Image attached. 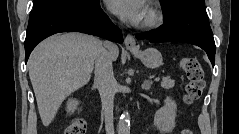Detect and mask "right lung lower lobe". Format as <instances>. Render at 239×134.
Segmentation results:
<instances>
[{
	"instance_id": "right-lung-lower-lobe-1",
	"label": "right lung lower lobe",
	"mask_w": 239,
	"mask_h": 134,
	"mask_svg": "<svg viewBox=\"0 0 239 134\" xmlns=\"http://www.w3.org/2000/svg\"><path fill=\"white\" fill-rule=\"evenodd\" d=\"M76 31L122 43L120 29L100 8L99 0H48L33 9L25 39V61L43 39L59 32Z\"/></svg>"
}]
</instances>
